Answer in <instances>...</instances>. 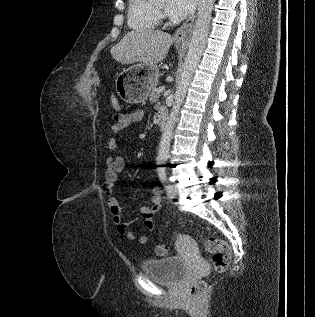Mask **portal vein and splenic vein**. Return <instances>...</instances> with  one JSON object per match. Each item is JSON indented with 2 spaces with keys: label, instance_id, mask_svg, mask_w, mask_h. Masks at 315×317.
<instances>
[{
  "label": "portal vein and splenic vein",
  "instance_id": "portal-vein-and-splenic-vein-1",
  "mask_svg": "<svg viewBox=\"0 0 315 317\" xmlns=\"http://www.w3.org/2000/svg\"><path fill=\"white\" fill-rule=\"evenodd\" d=\"M164 90H165V88H164V87H161V88L159 89V92L162 93Z\"/></svg>",
  "mask_w": 315,
  "mask_h": 317
}]
</instances>
